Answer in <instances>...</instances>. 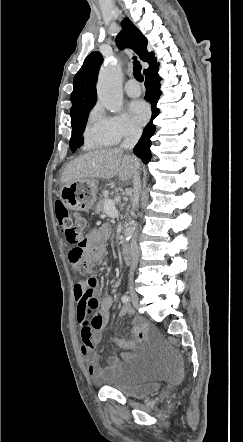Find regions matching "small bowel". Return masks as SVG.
<instances>
[{
	"label": "small bowel",
	"mask_w": 243,
	"mask_h": 442,
	"mask_svg": "<svg viewBox=\"0 0 243 442\" xmlns=\"http://www.w3.org/2000/svg\"><path fill=\"white\" fill-rule=\"evenodd\" d=\"M110 234L108 225L91 229L85 237V257L74 265L75 270L85 269L93 272L96 264L101 263L107 256L106 241ZM98 279L88 276L85 281H79L74 285V297L76 300V320L79 326L81 345L79 351L84 358L86 368L91 379L99 383L109 378L115 371L119 358L110 356L106 366L101 364V356L96 352V346L103 338L105 328L113 307L111 296H100ZM131 308L125 305L121 309L122 314H128ZM147 325L141 320H134L132 327L133 339L114 337L113 342L124 350H132L137 344H143L147 339ZM128 354H125V358Z\"/></svg>",
	"instance_id": "c3829d8e"
}]
</instances>
